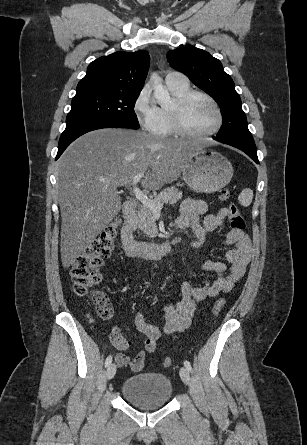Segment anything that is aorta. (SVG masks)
<instances>
[{
	"instance_id": "aorta-1",
	"label": "aorta",
	"mask_w": 307,
	"mask_h": 445,
	"mask_svg": "<svg viewBox=\"0 0 307 445\" xmlns=\"http://www.w3.org/2000/svg\"><path fill=\"white\" fill-rule=\"evenodd\" d=\"M150 82L151 84H153L154 88L153 94L158 104H160V106H166V104H171L172 102L171 96L168 90H166L164 84H162L157 72H152L150 76Z\"/></svg>"
}]
</instances>
